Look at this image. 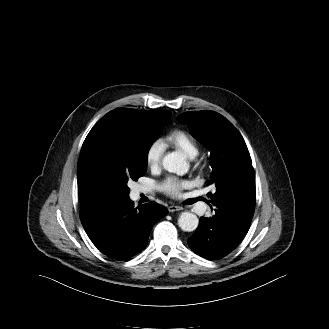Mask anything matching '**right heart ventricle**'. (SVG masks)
<instances>
[{
  "instance_id": "obj_1",
  "label": "right heart ventricle",
  "mask_w": 329,
  "mask_h": 329,
  "mask_svg": "<svg viewBox=\"0 0 329 329\" xmlns=\"http://www.w3.org/2000/svg\"><path fill=\"white\" fill-rule=\"evenodd\" d=\"M166 141L182 150L190 158L198 154L196 141L184 130H173L166 137Z\"/></svg>"
}]
</instances>
